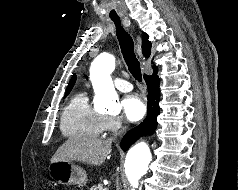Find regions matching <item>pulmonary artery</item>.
Returning <instances> with one entry per match:
<instances>
[{
	"instance_id": "pulmonary-artery-1",
	"label": "pulmonary artery",
	"mask_w": 238,
	"mask_h": 190,
	"mask_svg": "<svg viewBox=\"0 0 238 190\" xmlns=\"http://www.w3.org/2000/svg\"><path fill=\"white\" fill-rule=\"evenodd\" d=\"M116 88L122 92H128L132 90V84L126 80L117 78L114 81Z\"/></svg>"
}]
</instances>
